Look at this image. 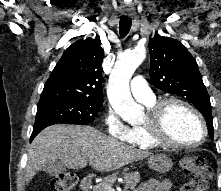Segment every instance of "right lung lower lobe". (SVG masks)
<instances>
[{
	"label": "right lung lower lobe",
	"instance_id": "1",
	"mask_svg": "<svg viewBox=\"0 0 221 191\" xmlns=\"http://www.w3.org/2000/svg\"><path fill=\"white\" fill-rule=\"evenodd\" d=\"M55 124V122L49 118H45V117H38L35 120V124L33 127V132L30 138V141H32L34 139V137L44 128Z\"/></svg>",
	"mask_w": 221,
	"mask_h": 191
}]
</instances>
